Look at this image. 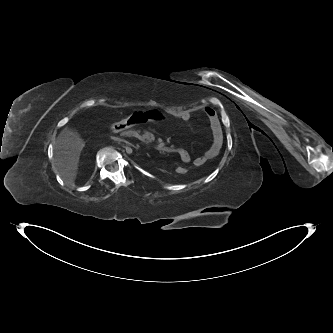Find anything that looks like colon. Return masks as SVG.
Returning <instances> with one entry per match:
<instances>
[{"mask_svg": "<svg viewBox=\"0 0 333 333\" xmlns=\"http://www.w3.org/2000/svg\"><path fill=\"white\" fill-rule=\"evenodd\" d=\"M162 118V113L159 110H152L147 111L143 113H137V114H129L126 118L122 119L121 121H117L116 123H113L110 126V129L113 132H118L122 128L125 127H131L134 124H144L149 123L152 121H159ZM174 170H177L179 173L186 174L188 171H191V168H188V166L179 164L177 167H174Z\"/></svg>", "mask_w": 333, "mask_h": 333, "instance_id": "colon-1", "label": "colon"}]
</instances>
